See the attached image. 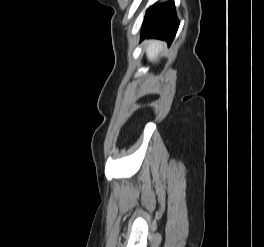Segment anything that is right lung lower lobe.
I'll return each mask as SVG.
<instances>
[{
  "label": "right lung lower lobe",
  "mask_w": 264,
  "mask_h": 247,
  "mask_svg": "<svg viewBox=\"0 0 264 247\" xmlns=\"http://www.w3.org/2000/svg\"><path fill=\"white\" fill-rule=\"evenodd\" d=\"M178 26L179 21L176 17L173 0L162 5H154L147 11L144 19L141 40L156 38L165 40L170 45Z\"/></svg>",
  "instance_id": "1"
}]
</instances>
